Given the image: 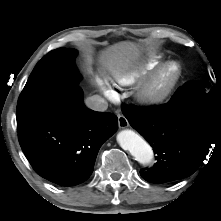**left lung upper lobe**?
I'll return each mask as SVG.
<instances>
[{"label":"left lung upper lobe","instance_id":"1","mask_svg":"<svg viewBox=\"0 0 221 221\" xmlns=\"http://www.w3.org/2000/svg\"><path fill=\"white\" fill-rule=\"evenodd\" d=\"M205 84L197 81L191 90L179 88L170 101V107L183 110H208L220 111L221 92L214 88L206 92Z\"/></svg>","mask_w":221,"mask_h":221}]
</instances>
